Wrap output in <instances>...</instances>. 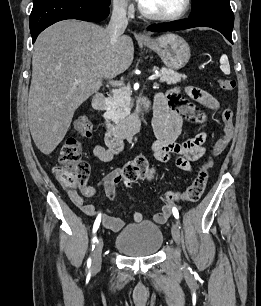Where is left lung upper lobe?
Segmentation results:
<instances>
[{"instance_id":"left-lung-upper-lobe-1","label":"left lung upper lobe","mask_w":261,"mask_h":306,"mask_svg":"<svg viewBox=\"0 0 261 306\" xmlns=\"http://www.w3.org/2000/svg\"><path fill=\"white\" fill-rule=\"evenodd\" d=\"M193 17L219 15L232 12L230 0H192Z\"/></svg>"}]
</instances>
